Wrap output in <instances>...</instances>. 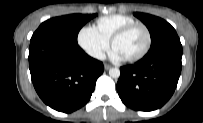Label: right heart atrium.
<instances>
[{"instance_id": "d8ad5b80", "label": "right heart atrium", "mask_w": 203, "mask_h": 123, "mask_svg": "<svg viewBox=\"0 0 203 123\" xmlns=\"http://www.w3.org/2000/svg\"><path fill=\"white\" fill-rule=\"evenodd\" d=\"M79 46L92 58L100 60L109 48L110 42L93 26H83L77 35Z\"/></svg>"}]
</instances>
